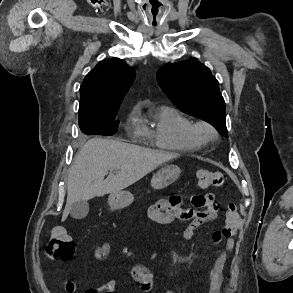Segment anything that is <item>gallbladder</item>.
<instances>
[{"mask_svg":"<svg viewBox=\"0 0 293 293\" xmlns=\"http://www.w3.org/2000/svg\"><path fill=\"white\" fill-rule=\"evenodd\" d=\"M89 212V204L87 201H78L73 203L70 214L75 219H83Z\"/></svg>","mask_w":293,"mask_h":293,"instance_id":"gallbladder-1","label":"gallbladder"}]
</instances>
